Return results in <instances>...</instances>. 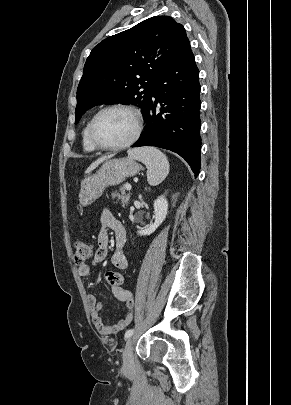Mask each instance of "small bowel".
I'll list each match as a JSON object with an SVG mask.
<instances>
[{
	"instance_id": "c3829d8e",
	"label": "small bowel",
	"mask_w": 291,
	"mask_h": 405,
	"mask_svg": "<svg viewBox=\"0 0 291 405\" xmlns=\"http://www.w3.org/2000/svg\"><path fill=\"white\" fill-rule=\"evenodd\" d=\"M101 230L97 237L98 248L94 255L91 265L85 264L78 268V273L82 277H88L91 274L92 267L104 261L108 255L109 236L108 230H111L115 236L116 249L111 256L112 264L118 269H126L128 266L127 257L123 251L126 242V230L109 210H104L100 218ZM113 295L120 301L124 302L127 312L124 317L114 325H106L100 315L104 309V304L97 301L93 294H89L87 299L90 306V314L93 324L102 336H110L123 331L133 319L132 308L134 306L133 295L129 290L121 286H111Z\"/></svg>"
}]
</instances>
